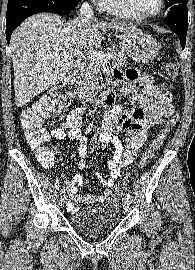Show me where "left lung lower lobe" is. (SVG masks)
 Listing matches in <instances>:
<instances>
[{"label":"left lung lower lobe","mask_w":195,"mask_h":270,"mask_svg":"<svg viewBox=\"0 0 195 270\" xmlns=\"http://www.w3.org/2000/svg\"><path fill=\"white\" fill-rule=\"evenodd\" d=\"M168 9L164 22L179 37L182 48L185 47L188 30L187 3L173 5Z\"/></svg>","instance_id":"obj_1"}]
</instances>
